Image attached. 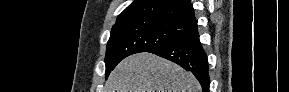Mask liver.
<instances>
[{
	"mask_svg": "<svg viewBox=\"0 0 289 92\" xmlns=\"http://www.w3.org/2000/svg\"><path fill=\"white\" fill-rule=\"evenodd\" d=\"M106 92H201L191 72L152 53L131 55L111 72Z\"/></svg>",
	"mask_w": 289,
	"mask_h": 92,
	"instance_id": "6515ba94",
	"label": "liver"
}]
</instances>
